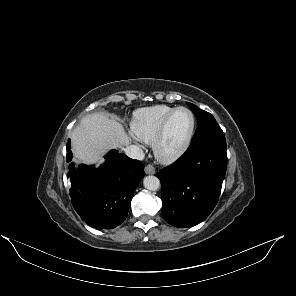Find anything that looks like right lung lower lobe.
Wrapping results in <instances>:
<instances>
[{
  "instance_id": "98d812e1",
  "label": "right lung lower lobe",
  "mask_w": 296,
  "mask_h": 296,
  "mask_svg": "<svg viewBox=\"0 0 296 296\" xmlns=\"http://www.w3.org/2000/svg\"><path fill=\"white\" fill-rule=\"evenodd\" d=\"M67 162L72 160L70 141L67 143ZM99 168L71 163V202L89 226L112 229L126 218L134 191L144 176L142 163L125 154L111 151Z\"/></svg>"
}]
</instances>
